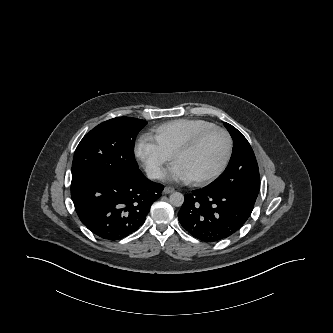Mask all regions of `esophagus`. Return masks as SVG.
Segmentation results:
<instances>
[{
	"label": "esophagus",
	"mask_w": 333,
	"mask_h": 333,
	"mask_svg": "<svg viewBox=\"0 0 333 333\" xmlns=\"http://www.w3.org/2000/svg\"><path fill=\"white\" fill-rule=\"evenodd\" d=\"M173 191H174V188H172V187H168V186L164 187V189H163V193H164V194H170V193H172Z\"/></svg>",
	"instance_id": "1"
}]
</instances>
